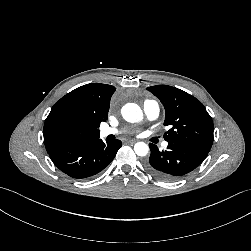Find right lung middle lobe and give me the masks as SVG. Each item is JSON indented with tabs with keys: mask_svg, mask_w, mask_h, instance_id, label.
Returning a JSON list of instances; mask_svg holds the SVG:
<instances>
[{
	"mask_svg": "<svg viewBox=\"0 0 251 251\" xmlns=\"http://www.w3.org/2000/svg\"><path fill=\"white\" fill-rule=\"evenodd\" d=\"M54 131L58 137L69 140L80 137L82 127L77 121L71 118H61L56 122Z\"/></svg>",
	"mask_w": 251,
	"mask_h": 251,
	"instance_id": "obj_1",
	"label": "right lung middle lobe"
}]
</instances>
